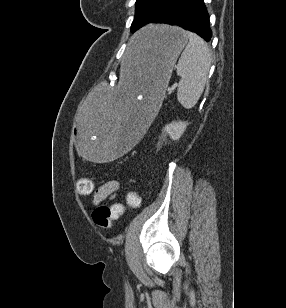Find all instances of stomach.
<instances>
[{
  "label": "stomach",
  "instance_id": "obj_1",
  "mask_svg": "<svg viewBox=\"0 0 286 308\" xmlns=\"http://www.w3.org/2000/svg\"><path fill=\"white\" fill-rule=\"evenodd\" d=\"M188 42L186 31L170 25L141 30L122 55L121 86H103L83 100L74 125V148L87 164H112L133 144H142L140 132L151 125L152 110L165 95L176 60Z\"/></svg>",
  "mask_w": 286,
  "mask_h": 308
}]
</instances>
